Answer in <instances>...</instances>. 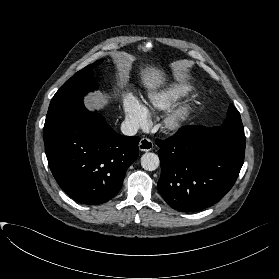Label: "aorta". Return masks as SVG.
I'll return each instance as SVG.
<instances>
[{
  "instance_id": "obj_1",
  "label": "aorta",
  "mask_w": 279,
  "mask_h": 279,
  "mask_svg": "<svg viewBox=\"0 0 279 279\" xmlns=\"http://www.w3.org/2000/svg\"><path fill=\"white\" fill-rule=\"evenodd\" d=\"M160 164L159 157L155 153L148 152L141 157V166L147 171H154Z\"/></svg>"
}]
</instances>
